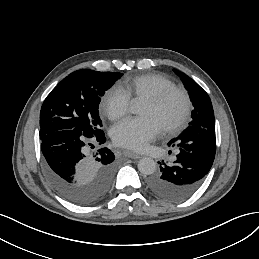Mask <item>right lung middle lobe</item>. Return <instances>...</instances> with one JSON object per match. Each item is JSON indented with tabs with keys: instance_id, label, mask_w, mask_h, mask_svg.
<instances>
[{
	"instance_id": "dd1d6c3e",
	"label": "right lung middle lobe",
	"mask_w": 259,
	"mask_h": 259,
	"mask_svg": "<svg viewBox=\"0 0 259 259\" xmlns=\"http://www.w3.org/2000/svg\"><path fill=\"white\" fill-rule=\"evenodd\" d=\"M122 73L82 69L64 78L46 97L40 112V139L61 130L92 137L102 130L101 96Z\"/></svg>"
}]
</instances>
